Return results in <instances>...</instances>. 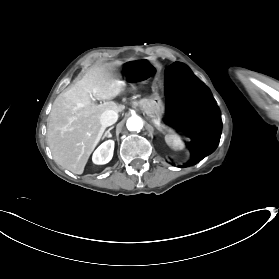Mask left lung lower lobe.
Returning a JSON list of instances; mask_svg holds the SVG:
<instances>
[{"instance_id": "left-lung-lower-lobe-1", "label": "left lung lower lobe", "mask_w": 279, "mask_h": 279, "mask_svg": "<svg viewBox=\"0 0 279 279\" xmlns=\"http://www.w3.org/2000/svg\"><path fill=\"white\" fill-rule=\"evenodd\" d=\"M165 95L168 109L191 134V159L180 167L192 166L218 146L222 130L221 114L209 89L183 63L165 70Z\"/></svg>"}]
</instances>
